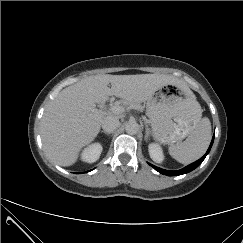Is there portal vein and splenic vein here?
Masks as SVG:
<instances>
[{
    "mask_svg": "<svg viewBox=\"0 0 243 243\" xmlns=\"http://www.w3.org/2000/svg\"><path fill=\"white\" fill-rule=\"evenodd\" d=\"M110 110L115 114H121L124 112V108L120 105H112Z\"/></svg>",
    "mask_w": 243,
    "mask_h": 243,
    "instance_id": "18ae733b",
    "label": "portal vein and splenic vein"
}]
</instances>
